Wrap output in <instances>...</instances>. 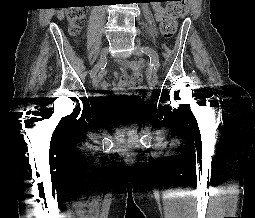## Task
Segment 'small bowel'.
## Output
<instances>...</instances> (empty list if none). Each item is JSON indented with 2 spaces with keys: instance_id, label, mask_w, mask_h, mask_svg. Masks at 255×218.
Masks as SVG:
<instances>
[{
  "instance_id": "c3829d8e",
  "label": "small bowel",
  "mask_w": 255,
  "mask_h": 218,
  "mask_svg": "<svg viewBox=\"0 0 255 218\" xmlns=\"http://www.w3.org/2000/svg\"><path fill=\"white\" fill-rule=\"evenodd\" d=\"M155 12V19L161 21L164 18V9L160 4H155L153 6ZM120 65V73L116 74L117 82L113 83V89L115 91H130L136 87V85L142 80L143 73V62L141 61H127L118 60ZM127 69L132 72L131 76L127 75ZM102 88L106 90L109 84L106 81L102 82ZM101 103H109V97L105 94H101Z\"/></svg>"
}]
</instances>
